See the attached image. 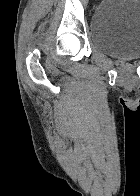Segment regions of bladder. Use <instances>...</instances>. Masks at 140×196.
Returning <instances> with one entry per match:
<instances>
[{
    "label": "bladder",
    "instance_id": "obj_1",
    "mask_svg": "<svg viewBox=\"0 0 140 196\" xmlns=\"http://www.w3.org/2000/svg\"><path fill=\"white\" fill-rule=\"evenodd\" d=\"M94 48L109 56L140 58V0H102L89 30Z\"/></svg>",
    "mask_w": 140,
    "mask_h": 196
}]
</instances>
